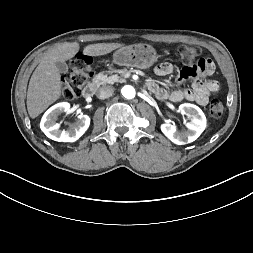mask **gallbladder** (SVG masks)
Listing matches in <instances>:
<instances>
[{"mask_svg":"<svg viewBox=\"0 0 253 253\" xmlns=\"http://www.w3.org/2000/svg\"><path fill=\"white\" fill-rule=\"evenodd\" d=\"M56 67L61 73H66L68 71V65L63 61L56 62Z\"/></svg>","mask_w":253,"mask_h":253,"instance_id":"gallbladder-1","label":"gallbladder"}]
</instances>
